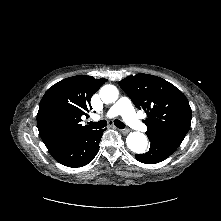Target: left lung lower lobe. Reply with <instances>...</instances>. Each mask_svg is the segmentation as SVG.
Instances as JSON below:
<instances>
[{"mask_svg":"<svg viewBox=\"0 0 221 221\" xmlns=\"http://www.w3.org/2000/svg\"><path fill=\"white\" fill-rule=\"evenodd\" d=\"M150 149L145 154H136L135 157L139 162L145 164L159 163L175 152L178 146L159 138H150Z\"/></svg>","mask_w":221,"mask_h":221,"instance_id":"obj_1","label":"left lung lower lobe"}]
</instances>
